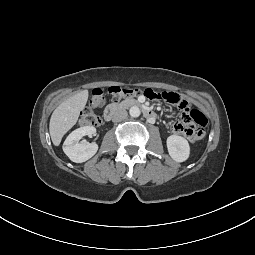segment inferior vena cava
<instances>
[{"label": "inferior vena cava", "mask_w": 255, "mask_h": 255, "mask_svg": "<svg viewBox=\"0 0 255 255\" xmlns=\"http://www.w3.org/2000/svg\"><path fill=\"white\" fill-rule=\"evenodd\" d=\"M128 116V113L126 110L124 109H117L112 116V121L113 122H119L122 121L124 119H126Z\"/></svg>", "instance_id": "1"}]
</instances>
